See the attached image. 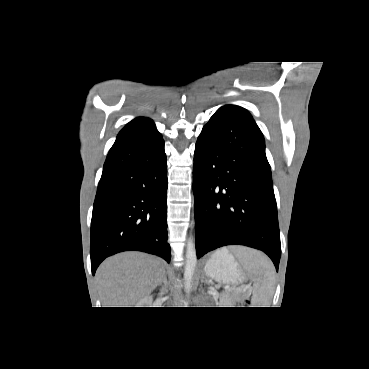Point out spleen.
Wrapping results in <instances>:
<instances>
[{"instance_id":"obj_1","label":"spleen","mask_w":369,"mask_h":369,"mask_svg":"<svg viewBox=\"0 0 369 369\" xmlns=\"http://www.w3.org/2000/svg\"><path fill=\"white\" fill-rule=\"evenodd\" d=\"M244 267L254 276L252 304L269 307L275 285V268L267 256L259 251L240 248L237 253Z\"/></svg>"}]
</instances>
